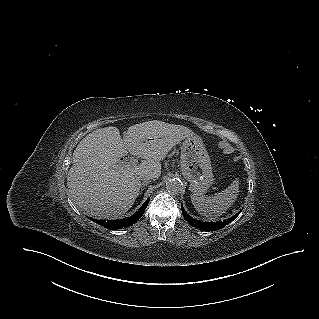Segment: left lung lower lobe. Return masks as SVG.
I'll use <instances>...</instances> for the list:
<instances>
[{
	"label": "left lung lower lobe",
	"mask_w": 319,
	"mask_h": 319,
	"mask_svg": "<svg viewBox=\"0 0 319 319\" xmlns=\"http://www.w3.org/2000/svg\"><path fill=\"white\" fill-rule=\"evenodd\" d=\"M182 209V213H183V217L184 219L193 227L199 228L201 230L204 231H215V230H219L223 227H225L227 224H229L230 222H232L239 214L240 212H238L236 215H234L233 217L224 220V221H219V222H202L200 220L194 219L192 218L190 215H188L183 207H181Z\"/></svg>",
	"instance_id": "left-lung-lower-lobe-1"
}]
</instances>
